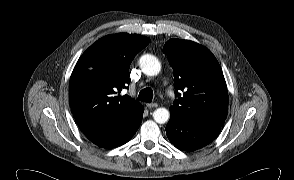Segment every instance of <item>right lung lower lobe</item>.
Listing matches in <instances>:
<instances>
[{
	"label": "right lung lower lobe",
	"mask_w": 294,
	"mask_h": 180,
	"mask_svg": "<svg viewBox=\"0 0 294 180\" xmlns=\"http://www.w3.org/2000/svg\"><path fill=\"white\" fill-rule=\"evenodd\" d=\"M144 108L139 103L121 121L109 128L85 130V136L97 146L113 148L128 142L139 128Z\"/></svg>",
	"instance_id": "1"
}]
</instances>
